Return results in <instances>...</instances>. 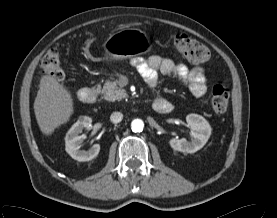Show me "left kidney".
I'll return each mask as SVG.
<instances>
[{"instance_id": "5707ae66", "label": "left kidney", "mask_w": 277, "mask_h": 218, "mask_svg": "<svg viewBox=\"0 0 277 218\" xmlns=\"http://www.w3.org/2000/svg\"><path fill=\"white\" fill-rule=\"evenodd\" d=\"M186 122L191 127V140L172 138L169 141L170 146L183 153H195L200 150L208 141L212 128L208 121L198 114H189L186 116Z\"/></svg>"}]
</instances>
